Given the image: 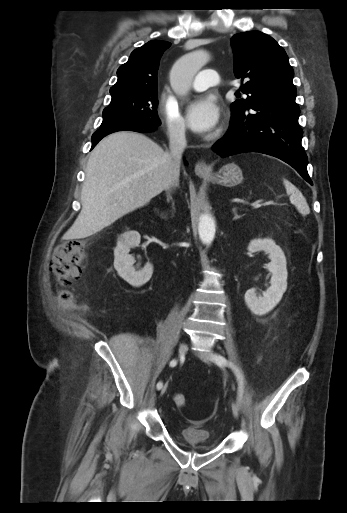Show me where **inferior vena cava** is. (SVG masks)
I'll return each mask as SVG.
<instances>
[{
	"label": "inferior vena cava",
	"instance_id": "1",
	"mask_svg": "<svg viewBox=\"0 0 347 513\" xmlns=\"http://www.w3.org/2000/svg\"><path fill=\"white\" fill-rule=\"evenodd\" d=\"M187 141L185 136L184 127H176L169 131V165L171 171L176 176H179L181 157L186 148ZM170 186L166 188L169 190Z\"/></svg>",
	"mask_w": 347,
	"mask_h": 513
}]
</instances>
